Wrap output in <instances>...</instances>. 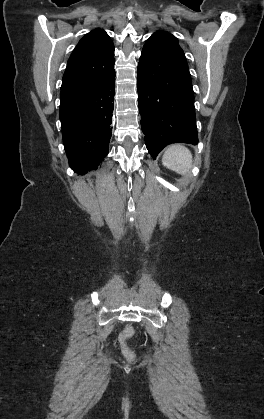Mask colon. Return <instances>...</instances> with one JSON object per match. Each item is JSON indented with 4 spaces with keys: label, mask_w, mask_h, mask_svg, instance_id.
I'll return each mask as SVG.
<instances>
[{
    "label": "colon",
    "mask_w": 264,
    "mask_h": 419,
    "mask_svg": "<svg viewBox=\"0 0 264 419\" xmlns=\"http://www.w3.org/2000/svg\"><path fill=\"white\" fill-rule=\"evenodd\" d=\"M134 334V328L132 326H127L125 327V329L123 330L122 334H121V338H120V342H121V347H122V352H123V356L125 357V359L127 361H134L135 360V354L134 352L130 349L127 341L130 337H132Z\"/></svg>",
    "instance_id": "colon-1"
}]
</instances>
